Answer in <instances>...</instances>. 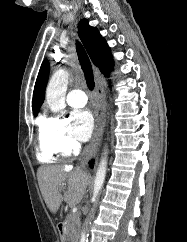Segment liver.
Wrapping results in <instances>:
<instances>
[{"mask_svg": "<svg viewBox=\"0 0 187 242\" xmlns=\"http://www.w3.org/2000/svg\"><path fill=\"white\" fill-rule=\"evenodd\" d=\"M37 177L44 201L54 214L63 201L71 207L80 203L90 184V175L80 167L42 166L37 171Z\"/></svg>", "mask_w": 187, "mask_h": 242, "instance_id": "1", "label": "liver"}]
</instances>
